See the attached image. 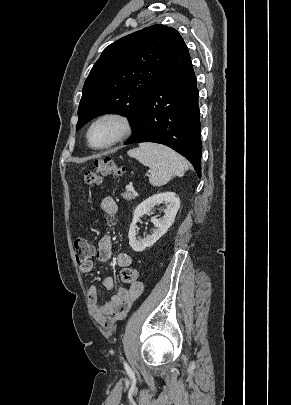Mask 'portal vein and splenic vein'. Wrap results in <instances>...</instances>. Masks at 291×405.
Masks as SVG:
<instances>
[{
    "label": "portal vein and splenic vein",
    "mask_w": 291,
    "mask_h": 405,
    "mask_svg": "<svg viewBox=\"0 0 291 405\" xmlns=\"http://www.w3.org/2000/svg\"><path fill=\"white\" fill-rule=\"evenodd\" d=\"M126 190H127V191H130V192H133V193H136V192H135V189H134V187H133L132 185H127V186H126Z\"/></svg>",
    "instance_id": "18ae733b"
}]
</instances>
